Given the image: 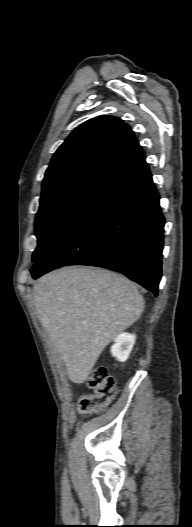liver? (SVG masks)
I'll return each mask as SVG.
<instances>
[{
    "label": "liver",
    "mask_w": 192,
    "mask_h": 527,
    "mask_svg": "<svg viewBox=\"0 0 192 527\" xmlns=\"http://www.w3.org/2000/svg\"><path fill=\"white\" fill-rule=\"evenodd\" d=\"M38 318L71 382L83 383L105 347L144 309L137 285L117 273L66 267L35 283Z\"/></svg>",
    "instance_id": "obj_1"
}]
</instances>
